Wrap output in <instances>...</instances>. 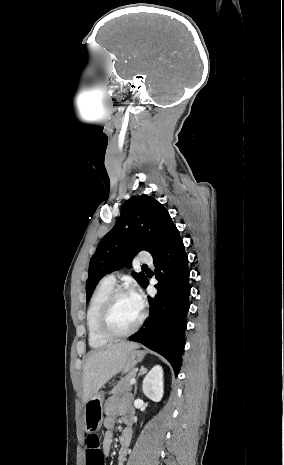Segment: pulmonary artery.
Returning <instances> with one entry per match:
<instances>
[{"instance_id":"pulmonary-artery-1","label":"pulmonary artery","mask_w":284,"mask_h":465,"mask_svg":"<svg viewBox=\"0 0 284 465\" xmlns=\"http://www.w3.org/2000/svg\"><path fill=\"white\" fill-rule=\"evenodd\" d=\"M136 261L139 263H150L152 261V256L147 250H140L136 256ZM101 281L115 285L116 277L114 274H109L104 276Z\"/></svg>"}]
</instances>
